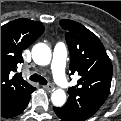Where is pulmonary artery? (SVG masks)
<instances>
[{
    "label": "pulmonary artery",
    "mask_w": 121,
    "mask_h": 121,
    "mask_svg": "<svg viewBox=\"0 0 121 121\" xmlns=\"http://www.w3.org/2000/svg\"><path fill=\"white\" fill-rule=\"evenodd\" d=\"M66 61H67L66 46L64 43L59 42L56 44L54 48L51 68L55 81L62 88L68 87L65 76Z\"/></svg>",
    "instance_id": "obj_1"
}]
</instances>
